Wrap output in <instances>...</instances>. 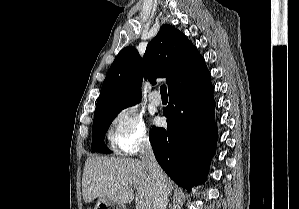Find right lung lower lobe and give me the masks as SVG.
I'll list each match as a JSON object with an SVG mask.
<instances>
[{
  "instance_id": "98d812e1",
  "label": "right lung lower lobe",
  "mask_w": 299,
  "mask_h": 209,
  "mask_svg": "<svg viewBox=\"0 0 299 209\" xmlns=\"http://www.w3.org/2000/svg\"><path fill=\"white\" fill-rule=\"evenodd\" d=\"M210 73L169 91L167 128L149 135L155 158L171 179L190 190L203 183L216 150L217 126Z\"/></svg>"
}]
</instances>
